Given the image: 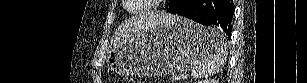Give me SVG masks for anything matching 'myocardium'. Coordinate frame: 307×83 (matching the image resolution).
Returning a JSON list of instances; mask_svg holds the SVG:
<instances>
[{"instance_id":"myocardium-1","label":"myocardium","mask_w":307,"mask_h":83,"mask_svg":"<svg viewBox=\"0 0 307 83\" xmlns=\"http://www.w3.org/2000/svg\"><path fill=\"white\" fill-rule=\"evenodd\" d=\"M127 1H128V0H127ZM154 2H155V3H159V2H161V0H160V1H154ZM126 9H127V11H128L129 13H132V14H139V13H144V12L150 10V6H149V7L142 8V9H139V10H132V9H130V7H126Z\"/></svg>"}]
</instances>
